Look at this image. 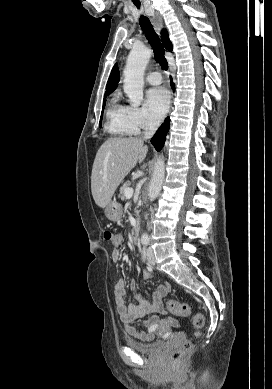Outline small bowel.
<instances>
[{
  "label": "small bowel",
  "mask_w": 272,
  "mask_h": 389,
  "mask_svg": "<svg viewBox=\"0 0 272 389\" xmlns=\"http://www.w3.org/2000/svg\"><path fill=\"white\" fill-rule=\"evenodd\" d=\"M121 259V253L118 250L113 251L112 260L118 262ZM145 279L152 278L149 272H144ZM125 282L118 280L114 286V296L116 302L117 312L124 327L125 332L132 338L140 341H150L154 338L155 332L158 328V317L152 316L144 321L147 331H138L133 323L136 320L142 319L149 314L164 313L163 299L170 292V285L168 283H162L153 294L151 301L141 297L137 294L138 300L134 303L127 304L125 301ZM130 289L137 293V283L132 280L129 284ZM166 322L170 324H176V321L172 318L166 319Z\"/></svg>",
  "instance_id": "1"
}]
</instances>
